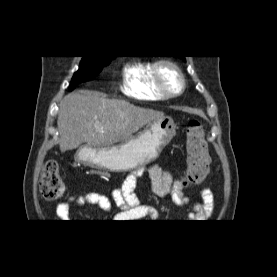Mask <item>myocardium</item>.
I'll list each match as a JSON object with an SVG mask.
<instances>
[{"instance_id": "1", "label": "myocardium", "mask_w": 277, "mask_h": 277, "mask_svg": "<svg viewBox=\"0 0 277 277\" xmlns=\"http://www.w3.org/2000/svg\"><path fill=\"white\" fill-rule=\"evenodd\" d=\"M162 66H168V67L172 68L174 70V72L177 74V76L180 80L179 90L172 92V91H169L165 87L162 77H161V74H160V69ZM152 74H153V80H154V84H155L157 91L166 98L177 97V96L181 95L186 88V79H185V76L183 74L181 67L176 62H174L170 59H161V60L153 63Z\"/></svg>"}]
</instances>
